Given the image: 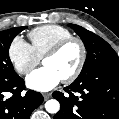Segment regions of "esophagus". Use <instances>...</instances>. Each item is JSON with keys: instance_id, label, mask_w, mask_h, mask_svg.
<instances>
[{"instance_id": "obj_1", "label": "esophagus", "mask_w": 119, "mask_h": 119, "mask_svg": "<svg viewBox=\"0 0 119 119\" xmlns=\"http://www.w3.org/2000/svg\"><path fill=\"white\" fill-rule=\"evenodd\" d=\"M43 97L45 100H48L51 97V93H44Z\"/></svg>"}]
</instances>
